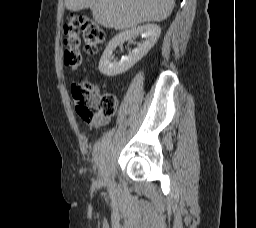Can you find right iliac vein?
Here are the masks:
<instances>
[{
	"label": "right iliac vein",
	"mask_w": 256,
	"mask_h": 228,
	"mask_svg": "<svg viewBox=\"0 0 256 228\" xmlns=\"http://www.w3.org/2000/svg\"><path fill=\"white\" fill-rule=\"evenodd\" d=\"M116 140L115 136H112L109 140V143L105 144V150L103 151L102 157H101V172L102 177L106 183L113 184V177L111 172L106 168L108 166V160L106 158L109 157L110 152L112 151V144Z\"/></svg>",
	"instance_id": "1"
}]
</instances>
